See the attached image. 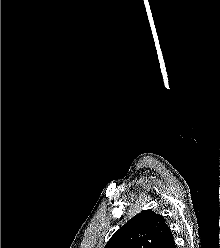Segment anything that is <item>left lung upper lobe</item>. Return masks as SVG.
I'll list each match as a JSON object with an SVG mask.
<instances>
[{
  "mask_svg": "<svg viewBox=\"0 0 220 248\" xmlns=\"http://www.w3.org/2000/svg\"><path fill=\"white\" fill-rule=\"evenodd\" d=\"M173 241L164 217L144 210L117 230L105 248H169Z\"/></svg>",
  "mask_w": 220,
  "mask_h": 248,
  "instance_id": "obj_1",
  "label": "left lung upper lobe"
}]
</instances>
